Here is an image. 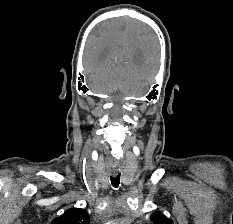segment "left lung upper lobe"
I'll return each mask as SVG.
<instances>
[{"mask_svg":"<svg viewBox=\"0 0 233 224\" xmlns=\"http://www.w3.org/2000/svg\"><path fill=\"white\" fill-rule=\"evenodd\" d=\"M150 219L153 222V224H174L172 220L166 218L160 212L152 213Z\"/></svg>","mask_w":233,"mask_h":224,"instance_id":"1","label":"left lung upper lobe"}]
</instances>
